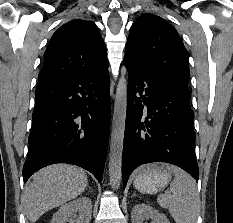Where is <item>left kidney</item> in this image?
Segmentation results:
<instances>
[{"mask_svg":"<svg viewBox=\"0 0 233 223\" xmlns=\"http://www.w3.org/2000/svg\"><path fill=\"white\" fill-rule=\"evenodd\" d=\"M132 223H145V219L151 217L152 223H170L164 213H159L158 209H154L147 203H137L132 207L131 211Z\"/></svg>","mask_w":233,"mask_h":223,"instance_id":"5707ae66","label":"left kidney"}]
</instances>
